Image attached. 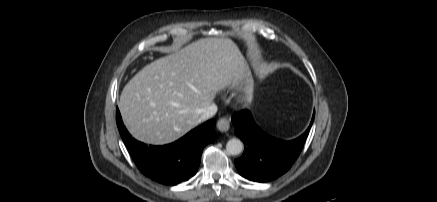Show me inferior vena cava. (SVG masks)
<instances>
[{
  "instance_id": "602c4592",
  "label": "inferior vena cava",
  "mask_w": 437,
  "mask_h": 202,
  "mask_svg": "<svg viewBox=\"0 0 437 202\" xmlns=\"http://www.w3.org/2000/svg\"><path fill=\"white\" fill-rule=\"evenodd\" d=\"M217 112V106L216 104L212 103L207 108H205L199 118V122L206 121L210 118H212Z\"/></svg>"
}]
</instances>
